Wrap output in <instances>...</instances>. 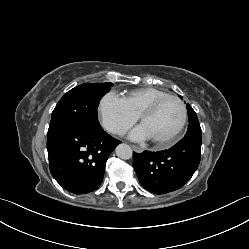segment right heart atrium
Wrapping results in <instances>:
<instances>
[{"mask_svg": "<svg viewBox=\"0 0 249 249\" xmlns=\"http://www.w3.org/2000/svg\"><path fill=\"white\" fill-rule=\"evenodd\" d=\"M98 115L103 126L111 133H125L137 120L122 98L109 92L102 96L98 103Z\"/></svg>", "mask_w": 249, "mask_h": 249, "instance_id": "d8ad5b80", "label": "right heart atrium"}]
</instances>
